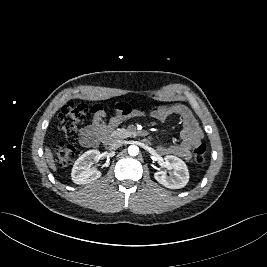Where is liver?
I'll list each match as a JSON object with an SVG mask.
<instances>
[{"label": "liver", "mask_w": 267, "mask_h": 267, "mask_svg": "<svg viewBox=\"0 0 267 267\" xmlns=\"http://www.w3.org/2000/svg\"><path fill=\"white\" fill-rule=\"evenodd\" d=\"M45 159H46V162L49 165V167L54 172H56L57 169H56V166H55V163H54V157H53V154H52L51 149L49 147L45 148Z\"/></svg>", "instance_id": "1"}]
</instances>
